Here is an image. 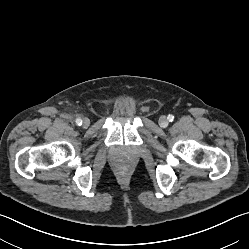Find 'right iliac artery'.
Listing matches in <instances>:
<instances>
[{
  "mask_svg": "<svg viewBox=\"0 0 249 249\" xmlns=\"http://www.w3.org/2000/svg\"><path fill=\"white\" fill-rule=\"evenodd\" d=\"M76 124L79 125V126L82 125V120L80 118H77L76 119Z\"/></svg>",
  "mask_w": 249,
  "mask_h": 249,
  "instance_id": "1",
  "label": "right iliac artery"
}]
</instances>
